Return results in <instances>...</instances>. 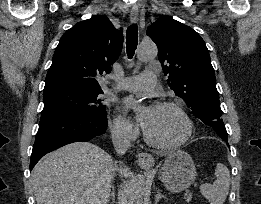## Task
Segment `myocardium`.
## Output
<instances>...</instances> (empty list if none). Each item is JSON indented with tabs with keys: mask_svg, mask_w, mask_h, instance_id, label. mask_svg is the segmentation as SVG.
Instances as JSON below:
<instances>
[{
	"mask_svg": "<svg viewBox=\"0 0 261 204\" xmlns=\"http://www.w3.org/2000/svg\"><path fill=\"white\" fill-rule=\"evenodd\" d=\"M153 107H155V108H172V109L176 110L182 116V118L185 122L186 131H185L184 136L177 142L170 143V144H164V143H160V142L154 140L149 135V133L145 130V128H143V135H144L145 141L150 146L160 149V150H174V149H177V148L183 146L185 143H187L193 134V123H192L190 116L185 111V109L181 105H179L178 103L173 102V101H158L153 105Z\"/></svg>",
	"mask_w": 261,
	"mask_h": 204,
	"instance_id": "myocardium-1",
	"label": "myocardium"
}]
</instances>
